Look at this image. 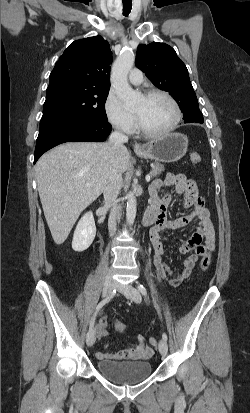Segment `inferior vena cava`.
Masks as SVG:
<instances>
[{"instance_id": "602c4592", "label": "inferior vena cava", "mask_w": 250, "mask_h": 413, "mask_svg": "<svg viewBox=\"0 0 250 413\" xmlns=\"http://www.w3.org/2000/svg\"><path fill=\"white\" fill-rule=\"evenodd\" d=\"M128 142V137L120 131H114L110 135L109 144L112 152L122 147L124 143ZM122 184V175L115 170H111L108 180L104 188L105 204L111 207L108 219V229L110 236L116 233V220L119 218L120 207L117 204V197L119 195Z\"/></svg>"}]
</instances>
